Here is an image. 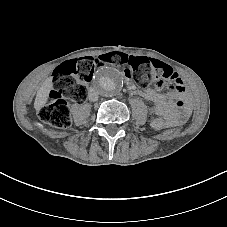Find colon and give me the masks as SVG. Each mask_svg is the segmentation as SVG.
Wrapping results in <instances>:
<instances>
[{
	"instance_id": "obj_1",
	"label": "colon",
	"mask_w": 227,
	"mask_h": 227,
	"mask_svg": "<svg viewBox=\"0 0 227 227\" xmlns=\"http://www.w3.org/2000/svg\"><path fill=\"white\" fill-rule=\"evenodd\" d=\"M105 64L123 69L127 77L133 78L142 87L155 83L173 95L184 90L183 81L173 68L156 59L119 52L106 53L97 58L82 57L66 61L55 69L49 102L40 109V119L56 128L69 127L71 115L66 99L78 103L85 101L94 69ZM151 125L155 129H163L168 126V122L162 117H155Z\"/></svg>"
}]
</instances>
